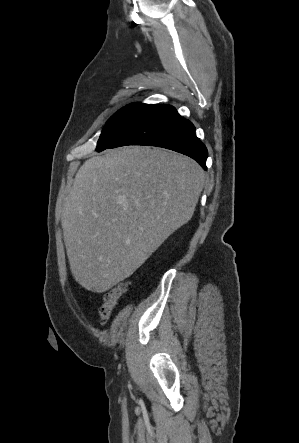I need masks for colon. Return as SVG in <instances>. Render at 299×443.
Listing matches in <instances>:
<instances>
[{
    "mask_svg": "<svg viewBox=\"0 0 299 443\" xmlns=\"http://www.w3.org/2000/svg\"><path fill=\"white\" fill-rule=\"evenodd\" d=\"M128 287V282H122L104 295L98 309L99 316L103 322L108 321L120 298L127 291Z\"/></svg>",
    "mask_w": 299,
    "mask_h": 443,
    "instance_id": "1",
    "label": "colon"
}]
</instances>
